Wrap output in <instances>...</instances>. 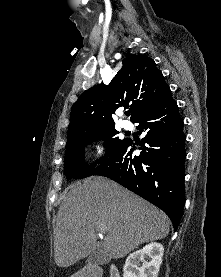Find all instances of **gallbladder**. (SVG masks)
Wrapping results in <instances>:
<instances>
[{
  "label": "gallbladder",
  "mask_w": 221,
  "mask_h": 277,
  "mask_svg": "<svg viewBox=\"0 0 221 277\" xmlns=\"http://www.w3.org/2000/svg\"><path fill=\"white\" fill-rule=\"evenodd\" d=\"M109 261L107 256H104L101 252H95L90 255L86 261L88 264H104Z\"/></svg>",
  "instance_id": "1"
}]
</instances>
